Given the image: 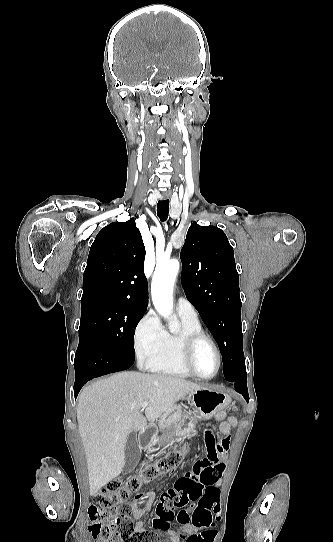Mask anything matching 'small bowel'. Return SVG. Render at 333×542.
<instances>
[{
	"instance_id": "c3829d8e",
	"label": "small bowel",
	"mask_w": 333,
	"mask_h": 542,
	"mask_svg": "<svg viewBox=\"0 0 333 542\" xmlns=\"http://www.w3.org/2000/svg\"><path fill=\"white\" fill-rule=\"evenodd\" d=\"M224 418V415H223ZM222 418V419H223ZM238 425V421L235 417H229L226 420H223L220 424L219 431L220 436L216 437L215 434L210 431L212 435H207L205 437V448H206V456L208 459L213 460H221L225 456V451L229 447L230 442V432L232 428H235ZM157 493L160 491L158 488L155 490ZM155 499L154 493H139L136 494L135 499L131 502H129V506L131 507L130 510V516L132 519L136 520V528L137 530L143 529V523L139 521L150 509L153 501ZM145 505L144 508L141 506ZM188 513V511H187ZM185 515V513H183ZM205 516H209L208 514H205ZM182 525L181 530L182 534L176 531H167L166 534L168 536V542H180L182 536L189 535L192 533H195L196 531L200 530H210L212 528V523L210 521H200L196 520L193 522H186V523H180Z\"/></svg>"
}]
</instances>
